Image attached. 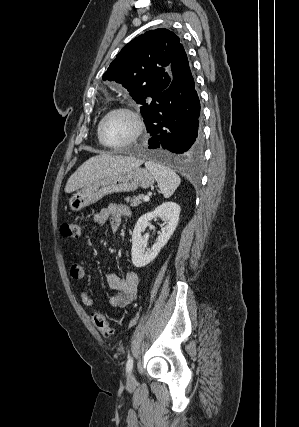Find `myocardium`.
<instances>
[{
	"label": "myocardium",
	"instance_id": "1",
	"mask_svg": "<svg viewBox=\"0 0 299 427\" xmlns=\"http://www.w3.org/2000/svg\"><path fill=\"white\" fill-rule=\"evenodd\" d=\"M115 113H124L127 116H129L131 118V120L133 121L134 124V133L132 135V137L126 141L123 144H119V145H112V144H108L106 142H104L103 138H102V126L103 123L105 122V120L111 116L112 114ZM144 132V121L140 115V113L135 110L132 107L129 106H119V107H115L111 110H109L100 120L98 127H97V137L98 140L100 142V144L106 148L109 149H122V148H126L132 144H134L139 138L140 136L143 134Z\"/></svg>",
	"mask_w": 299,
	"mask_h": 427
}]
</instances>
